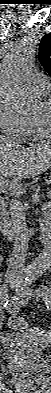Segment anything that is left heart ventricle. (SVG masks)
I'll use <instances>...</instances> for the list:
<instances>
[{"label":"left heart ventricle","mask_w":51,"mask_h":393,"mask_svg":"<svg viewBox=\"0 0 51 393\" xmlns=\"http://www.w3.org/2000/svg\"><path fill=\"white\" fill-rule=\"evenodd\" d=\"M36 116H41V117L48 119L50 116V112H49L48 107H46L45 105L42 104L41 107L39 108Z\"/></svg>","instance_id":"b2bd125f"}]
</instances>
